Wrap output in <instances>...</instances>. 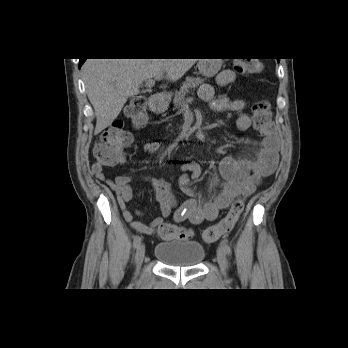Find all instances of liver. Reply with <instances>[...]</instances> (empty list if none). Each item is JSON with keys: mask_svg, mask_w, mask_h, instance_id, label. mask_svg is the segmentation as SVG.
Wrapping results in <instances>:
<instances>
[{"mask_svg": "<svg viewBox=\"0 0 348 348\" xmlns=\"http://www.w3.org/2000/svg\"><path fill=\"white\" fill-rule=\"evenodd\" d=\"M199 59H87L82 67L87 96L96 115L95 135L120 114L144 81L179 80Z\"/></svg>", "mask_w": 348, "mask_h": 348, "instance_id": "obj_1", "label": "liver"}]
</instances>
